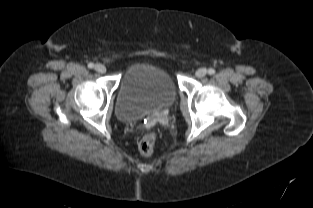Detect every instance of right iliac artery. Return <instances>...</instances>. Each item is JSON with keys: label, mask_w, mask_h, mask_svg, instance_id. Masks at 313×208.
I'll use <instances>...</instances> for the list:
<instances>
[{"label": "right iliac artery", "mask_w": 313, "mask_h": 208, "mask_svg": "<svg viewBox=\"0 0 313 208\" xmlns=\"http://www.w3.org/2000/svg\"><path fill=\"white\" fill-rule=\"evenodd\" d=\"M93 67H94V64H93V63H89V64H88V68L91 69V68H93Z\"/></svg>", "instance_id": "1"}]
</instances>
